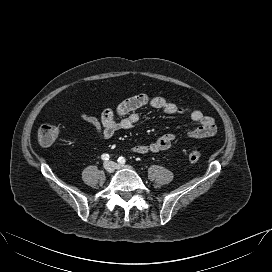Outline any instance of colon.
Instances as JSON below:
<instances>
[{"label": "colon", "instance_id": "5ec220e1", "mask_svg": "<svg viewBox=\"0 0 272 272\" xmlns=\"http://www.w3.org/2000/svg\"><path fill=\"white\" fill-rule=\"evenodd\" d=\"M60 129L53 124H46L39 128L37 132V140L42 146H49L53 144L58 138ZM201 159V153L199 151H193L189 153L188 160L191 163H196Z\"/></svg>", "mask_w": 272, "mask_h": 272}]
</instances>
